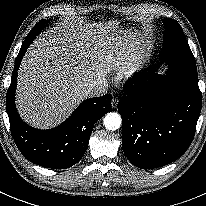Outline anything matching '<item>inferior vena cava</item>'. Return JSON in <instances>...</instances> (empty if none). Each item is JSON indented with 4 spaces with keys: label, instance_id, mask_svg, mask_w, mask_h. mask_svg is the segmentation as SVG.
<instances>
[{
    "label": "inferior vena cava",
    "instance_id": "602c4592",
    "mask_svg": "<svg viewBox=\"0 0 206 206\" xmlns=\"http://www.w3.org/2000/svg\"><path fill=\"white\" fill-rule=\"evenodd\" d=\"M108 83L106 80H102L91 87H89L86 91L88 96L90 97H100L107 93Z\"/></svg>",
    "mask_w": 206,
    "mask_h": 206
}]
</instances>
